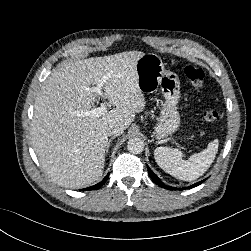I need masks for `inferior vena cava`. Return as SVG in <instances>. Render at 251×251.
Instances as JSON below:
<instances>
[{
	"label": "inferior vena cava",
	"mask_w": 251,
	"mask_h": 251,
	"mask_svg": "<svg viewBox=\"0 0 251 251\" xmlns=\"http://www.w3.org/2000/svg\"><path fill=\"white\" fill-rule=\"evenodd\" d=\"M124 129L120 126H110L107 129L108 135L119 136L123 133Z\"/></svg>",
	"instance_id": "obj_1"
}]
</instances>
